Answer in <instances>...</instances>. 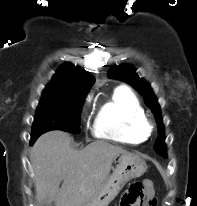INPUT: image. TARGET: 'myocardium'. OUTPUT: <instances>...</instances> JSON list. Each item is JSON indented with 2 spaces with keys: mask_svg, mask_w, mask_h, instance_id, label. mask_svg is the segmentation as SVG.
I'll list each match as a JSON object with an SVG mask.
<instances>
[{
  "mask_svg": "<svg viewBox=\"0 0 197 206\" xmlns=\"http://www.w3.org/2000/svg\"><path fill=\"white\" fill-rule=\"evenodd\" d=\"M153 129V125L151 124V122L146 121L145 122V130L147 132V134H149Z\"/></svg>",
  "mask_w": 197,
  "mask_h": 206,
  "instance_id": "1",
  "label": "myocardium"
}]
</instances>
